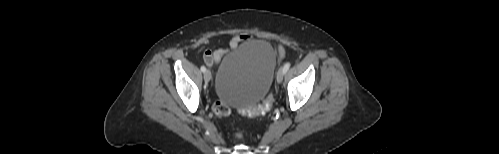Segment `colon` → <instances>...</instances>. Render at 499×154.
Masks as SVG:
<instances>
[{
    "label": "colon",
    "mask_w": 499,
    "mask_h": 154,
    "mask_svg": "<svg viewBox=\"0 0 499 154\" xmlns=\"http://www.w3.org/2000/svg\"><path fill=\"white\" fill-rule=\"evenodd\" d=\"M279 56L282 57L284 55V52L282 49H279L278 51ZM210 56V51H207L205 53V57ZM272 107V97L269 96L265 98L261 103L249 107L247 109H242L239 110L240 113L250 116V117H257V116H262L265 113H267ZM213 112L214 114L219 117V118H224L228 116L231 112L230 107L226 105L224 102L217 100L214 105H213ZM243 137L241 132H236L235 133V138L241 139Z\"/></svg>",
    "instance_id": "1"
}]
</instances>
